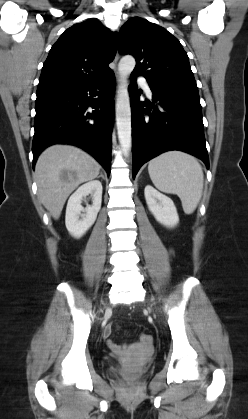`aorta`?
Returning a JSON list of instances; mask_svg holds the SVG:
<instances>
[{
    "mask_svg": "<svg viewBox=\"0 0 248 419\" xmlns=\"http://www.w3.org/2000/svg\"><path fill=\"white\" fill-rule=\"evenodd\" d=\"M135 65V58L131 55L122 57L118 64L120 85L118 88L116 100V125L119 143L125 155H127L130 151L132 142L131 107L127 78L135 68Z\"/></svg>",
    "mask_w": 248,
    "mask_h": 419,
    "instance_id": "obj_1",
    "label": "aorta"
}]
</instances>
